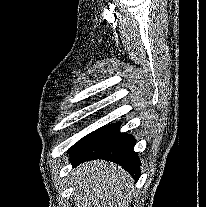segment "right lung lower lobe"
Listing matches in <instances>:
<instances>
[{"instance_id":"98d812e1","label":"right lung lower lobe","mask_w":206,"mask_h":207,"mask_svg":"<svg viewBox=\"0 0 206 207\" xmlns=\"http://www.w3.org/2000/svg\"><path fill=\"white\" fill-rule=\"evenodd\" d=\"M120 124L106 127L77 150H70V161L77 165L92 159H105L121 165L137 181L140 177V160L133 151L135 139L119 131Z\"/></svg>"}]
</instances>
